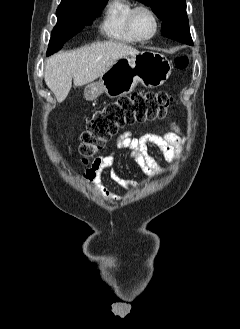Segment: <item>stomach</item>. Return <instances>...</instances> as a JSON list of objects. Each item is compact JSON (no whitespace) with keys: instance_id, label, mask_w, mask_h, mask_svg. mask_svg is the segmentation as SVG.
<instances>
[{"instance_id":"0dacf381","label":"stomach","mask_w":240,"mask_h":329,"mask_svg":"<svg viewBox=\"0 0 240 329\" xmlns=\"http://www.w3.org/2000/svg\"><path fill=\"white\" fill-rule=\"evenodd\" d=\"M171 70V62L163 54L142 51L118 59L98 81L85 87L84 96L89 101L103 93L112 98L121 97L131 93L138 83L147 88H156L164 84Z\"/></svg>"}]
</instances>
